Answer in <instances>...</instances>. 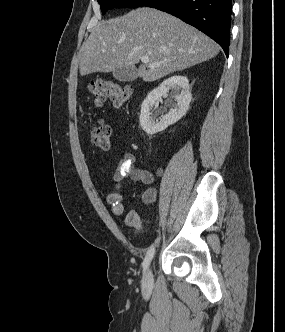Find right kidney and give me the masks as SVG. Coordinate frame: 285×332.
<instances>
[{
	"instance_id": "obj_1",
	"label": "right kidney",
	"mask_w": 285,
	"mask_h": 332,
	"mask_svg": "<svg viewBox=\"0 0 285 332\" xmlns=\"http://www.w3.org/2000/svg\"><path fill=\"white\" fill-rule=\"evenodd\" d=\"M172 90V98L177 102L174 109L156 119L154 108L156 101ZM192 95L189 87V80L186 76L176 75L163 81L156 89L152 90L143 101L140 113L141 128L149 135L165 130L168 126L176 123L187 112Z\"/></svg>"
}]
</instances>
